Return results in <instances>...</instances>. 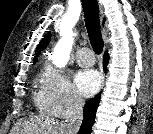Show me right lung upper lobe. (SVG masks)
<instances>
[{
	"label": "right lung upper lobe",
	"mask_w": 153,
	"mask_h": 134,
	"mask_svg": "<svg viewBox=\"0 0 153 134\" xmlns=\"http://www.w3.org/2000/svg\"><path fill=\"white\" fill-rule=\"evenodd\" d=\"M51 40V34L50 32L41 40V42L38 44L36 48V55H39L41 51H43L49 44ZM37 61V56L34 57V63Z\"/></svg>",
	"instance_id": "obj_1"
}]
</instances>
